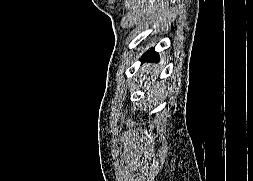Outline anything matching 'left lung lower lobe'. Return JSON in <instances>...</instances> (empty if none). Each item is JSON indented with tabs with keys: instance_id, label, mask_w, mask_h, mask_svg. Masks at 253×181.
Returning <instances> with one entry per match:
<instances>
[{
	"instance_id": "obj_1",
	"label": "left lung lower lobe",
	"mask_w": 253,
	"mask_h": 181,
	"mask_svg": "<svg viewBox=\"0 0 253 181\" xmlns=\"http://www.w3.org/2000/svg\"><path fill=\"white\" fill-rule=\"evenodd\" d=\"M141 60H153L157 61L158 60V53H156L153 49L148 51L147 53H144L142 56Z\"/></svg>"
}]
</instances>
